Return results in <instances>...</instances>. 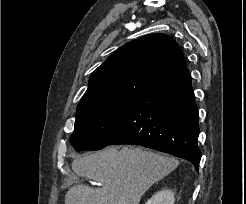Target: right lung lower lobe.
<instances>
[{"instance_id":"1","label":"right lung lower lobe","mask_w":246,"mask_h":204,"mask_svg":"<svg viewBox=\"0 0 246 204\" xmlns=\"http://www.w3.org/2000/svg\"><path fill=\"white\" fill-rule=\"evenodd\" d=\"M198 110L187 70L138 96L109 145H141L190 161L198 171Z\"/></svg>"}]
</instances>
